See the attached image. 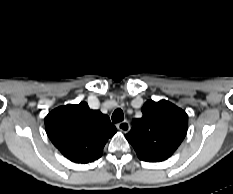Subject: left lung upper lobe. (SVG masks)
<instances>
[{
  "label": "left lung upper lobe",
  "mask_w": 233,
  "mask_h": 194,
  "mask_svg": "<svg viewBox=\"0 0 233 194\" xmlns=\"http://www.w3.org/2000/svg\"><path fill=\"white\" fill-rule=\"evenodd\" d=\"M142 113V118L133 120L126 139L143 161L161 162L168 159L186 136V112L166 100H148L143 105Z\"/></svg>",
  "instance_id": "5c2ea615"
}]
</instances>
